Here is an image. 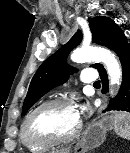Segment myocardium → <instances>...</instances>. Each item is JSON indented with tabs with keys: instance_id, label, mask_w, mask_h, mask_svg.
<instances>
[{
	"instance_id": "obj_1",
	"label": "myocardium",
	"mask_w": 130,
	"mask_h": 153,
	"mask_svg": "<svg viewBox=\"0 0 130 153\" xmlns=\"http://www.w3.org/2000/svg\"><path fill=\"white\" fill-rule=\"evenodd\" d=\"M61 105H69L74 106V102L68 98H55L48 101H45L34 108L28 116L25 118L22 124V132L26 138V140L34 145H42V146H52V145H65L73 140H75L81 131L82 123L79 120L78 125L76 126L75 130L66 137H52L47 135H34L31 132V122L33 118L42 110L47 109L53 106H61Z\"/></svg>"
}]
</instances>
